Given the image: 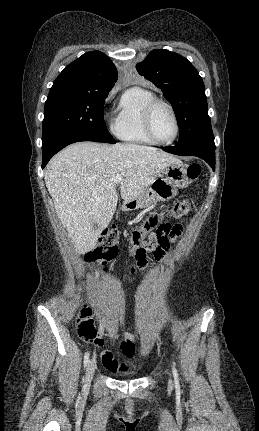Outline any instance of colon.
Instances as JSON below:
<instances>
[{"label": "colon", "instance_id": "obj_1", "mask_svg": "<svg viewBox=\"0 0 259 431\" xmlns=\"http://www.w3.org/2000/svg\"><path fill=\"white\" fill-rule=\"evenodd\" d=\"M188 180L196 181L201 175V166L197 163L188 165L186 169ZM191 210V203L188 200L177 202L171 210L163 209L160 212L151 213L141 225L129 232L130 247L129 255L134 259L132 269L147 266V255L151 252L155 257H162L169 251L171 243L174 242L183 232V227L179 223H172L170 215H175L178 220ZM148 237L145 240V237ZM119 232L114 227L106 228L99 240L96 248L89 252L85 261L92 265H102L114 259L118 254ZM106 270V268H103ZM76 327L79 336L97 345L103 344L94 320L92 318V308L84 306L76 317ZM121 350L127 356L134 353L132 342L123 341Z\"/></svg>", "mask_w": 259, "mask_h": 431}]
</instances>
